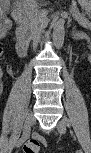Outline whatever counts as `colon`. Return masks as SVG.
<instances>
[{
	"instance_id": "1",
	"label": "colon",
	"mask_w": 91,
	"mask_h": 153,
	"mask_svg": "<svg viewBox=\"0 0 91 153\" xmlns=\"http://www.w3.org/2000/svg\"><path fill=\"white\" fill-rule=\"evenodd\" d=\"M10 22L6 19L1 21V27L7 30L9 28ZM46 142L42 139H31L23 147L24 153H37L41 145H45Z\"/></svg>"
}]
</instances>
